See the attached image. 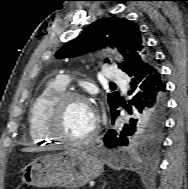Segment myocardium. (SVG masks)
<instances>
[{"instance_id": "1", "label": "myocardium", "mask_w": 188, "mask_h": 189, "mask_svg": "<svg viewBox=\"0 0 188 189\" xmlns=\"http://www.w3.org/2000/svg\"><path fill=\"white\" fill-rule=\"evenodd\" d=\"M73 101H82L89 104L88 98L76 91H64L50 105L46 113V131L53 139L71 145H82L93 141L99 132V122L96 123L89 134L82 138H71L60 130V123L66 106Z\"/></svg>"}]
</instances>
